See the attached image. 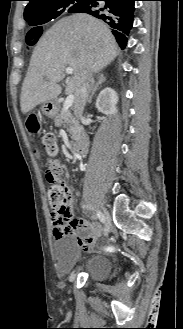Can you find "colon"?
Listing matches in <instances>:
<instances>
[{
  "label": "colon",
  "instance_id": "5ec220e1",
  "mask_svg": "<svg viewBox=\"0 0 183 329\" xmlns=\"http://www.w3.org/2000/svg\"><path fill=\"white\" fill-rule=\"evenodd\" d=\"M42 32H48V25H29V31H24L21 42L26 49H39ZM43 146L48 155H54L57 151V141L53 133H47L42 138ZM63 171L54 169L51 165L46 172V178L51 183L49 189V201L53 215L65 221L70 213L71 194L62 181Z\"/></svg>",
  "mask_w": 183,
  "mask_h": 329
}]
</instances>
